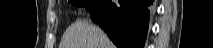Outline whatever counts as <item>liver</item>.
<instances>
[{"label":"liver","mask_w":213,"mask_h":48,"mask_svg":"<svg viewBox=\"0 0 213 48\" xmlns=\"http://www.w3.org/2000/svg\"><path fill=\"white\" fill-rule=\"evenodd\" d=\"M59 48H115L107 35L85 20H77L63 34Z\"/></svg>","instance_id":"liver-1"}]
</instances>
